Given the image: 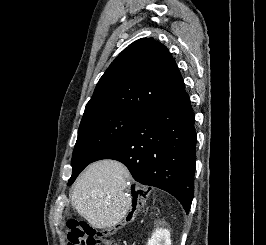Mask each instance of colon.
<instances>
[{
	"label": "colon",
	"instance_id": "5ec220e1",
	"mask_svg": "<svg viewBox=\"0 0 266 245\" xmlns=\"http://www.w3.org/2000/svg\"><path fill=\"white\" fill-rule=\"evenodd\" d=\"M106 232H96L86 221L70 219L66 225L67 245H118L106 236Z\"/></svg>",
	"mask_w": 266,
	"mask_h": 245
}]
</instances>
